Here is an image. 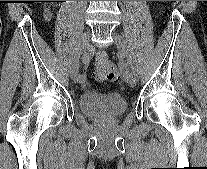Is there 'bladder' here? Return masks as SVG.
I'll list each match as a JSON object with an SVG mask.
<instances>
[{"label":"bladder","instance_id":"31cf9c89","mask_svg":"<svg viewBox=\"0 0 207 169\" xmlns=\"http://www.w3.org/2000/svg\"><path fill=\"white\" fill-rule=\"evenodd\" d=\"M79 107L88 117L112 119L123 115L128 103L124 96L116 92L87 90L80 95Z\"/></svg>","mask_w":207,"mask_h":169}]
</instances>
